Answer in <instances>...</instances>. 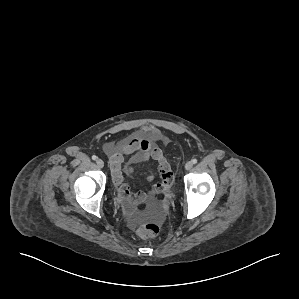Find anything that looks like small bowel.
Instances as JSON below:
<instances>
[{"label": "small bowel", "mask_w": 299, "mask_h": 299, "mask_svg": "<svg viewBox=\"0 0 299 299\" xmlns=\"http://www.w3.org/2000/svg\"><path fill=\"white\" fill-rule=\"evenodd\" d=\"M157 133L152 129H141L117 143H108L104 150L110 159L112 180L116 185L119 197L125 209L133 213L136 208L146 203L156 195L165 194L172 183V172L163 152L154 143ZM129 156L124 164V159ZM150 160L158 164L161 180L147 191L132 192L125 181L123 173L131 176L140 163ZM153 176L148 175L147 181H152Z\"/></svg>", "instance_id": "obj_1"}]
</instances>
